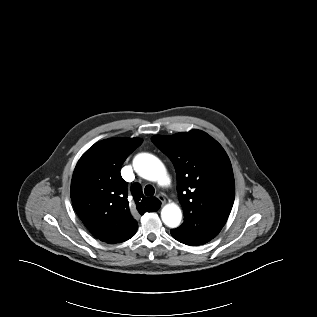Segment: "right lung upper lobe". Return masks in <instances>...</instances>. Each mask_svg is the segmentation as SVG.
<instances>
[{
  "label": "right lung upper lobe",
  "mask_w": 317,
  "mask_h": 317,
  "mask_svg": "<svg viewBox=\"0 0 317 317\" xmlns=\"http://www.w3.org/2000/svg\"><path fill=\"white\" fill-rule=\"evenodd\" d=\"M142 143L138 138H111L96 143L78 161L71 182L73 206L88 230L110 244L130 239L137 231L136 216L155 212L161 202L143 195L141 186L131 189L120 169Z\"/></svg>",
  "instance_id": "cb5924a9"
}]
</instances>
